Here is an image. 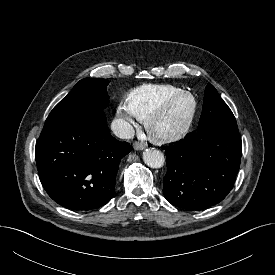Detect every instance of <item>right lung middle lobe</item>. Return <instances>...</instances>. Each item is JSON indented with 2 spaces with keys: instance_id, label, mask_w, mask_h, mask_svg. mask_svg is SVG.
Returning <instances> with one entry per match:
<instances>
[{
  "instance_id": "obj_1",
  "label": "right lung middle lobe",
  "mask_w": 275,
  "mask_h": 275,
  "mask_svg": "<svg viewBox=\"0 0 275 275\" xmlns=\"http://www.w3.org/2000/svg\"><path fill=\"white\" fill-rule=\"evenodd\" d=\"M109 81L100 78L80 80L70 93L50 112L44 128L84 122L102 113L109 97L106 87Z\"/></svg>"
}]
</instances>
